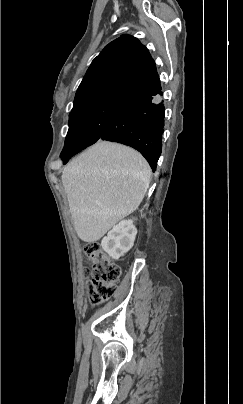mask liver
Wrapping results in <instances>:
<instances>
[{"label": "liver", "mask_w": 243, "mask_h": 404, "mask_svg": "<svg viewBox=\"0 0 243 404\" xmlns=\"http://www.w3.org/2000/svg\"><path fill=\"white\" fill-rule=\"evenodd\" d=\"M150 174L139 152L114 142H97L73 158L61 178L78 238L93 244L137 210Z\"/></svg>", "instance_id": "liver-1"}]
</instances>
